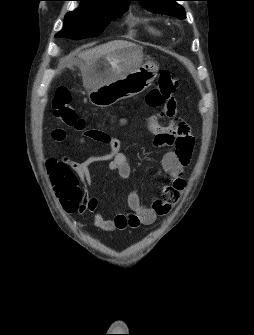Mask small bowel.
Here are the masks:
<instances>
[{
  "mask_svg": "<svg viewBox=\"0 0 254 335\" xmlns=\"http://www.w3.org/2000/svg\"><path fill=\"white\" fill-rule=\"evenodd\" d=\"M176 99V94H169L167 104L164 108H157L156 113L151 115L152 120L147 124V129L156 136L157 144L171 147L162 158V169L169 178L170 184L162 188L160 198L155 199L150 206H146L141 202L139 195L131 191L127 196L130 212L117 214L113 218H107L103 213L96 212L98 201L95 198L83 195L81 200L76 201L72 193L77 187L80 189L79 182L83 187L90 184L89 168L94 163L108 162L109 170L116 173L121 179H128L131 175V167L125 154L121 151L120 141L112 135L106 134L104 138H101L96 130H86L82 134V140L106 142L110 151L107 154L91 156L82 162L73 161L64 156L59 159L64 169L59 168L56 163L51 167L46 164L50 178L54 173L58 174L57 185L54 188L56 191L63 192L62 202L67 212L95 213L94 224L103 230L113 231L151 225L158 217L170 211L185 188L183 173L190 164L194 149L190 127L181 120L172 119L176 114ZM154 120H168V126H162ZM123 123L124 120H121L120 124ZM52 137L57 142L65 140V134L60 129H55ZM60 181L65 182L67 188L60 186Z\"/></svg>",
  "mask_w": 254,
  "mask_h": 335,
  "instance_id": "obj_1",
  "label": "small bowel"
}]
</instances>
